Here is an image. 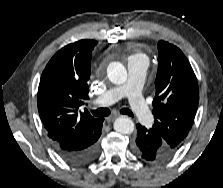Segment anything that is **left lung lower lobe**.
Listing matches in <instances>:
<instances>
[{"label": "left lung lower lobe", "mask_w": 223, "mask_h": 188, "mask_svg": "<svg viewBox=\"0 0 223 188\" xmlns=\"http://www.w3.org/2000/svg\"><path fill=\"white\" fill-rule=\"evenodd\" d=\"M133 151L145 161H162L173 155L157 131L148 130L140 124H137V138Z\"/></svg>", "instance_id": "left-lung-lower-lobe-1"}]
</instances>
